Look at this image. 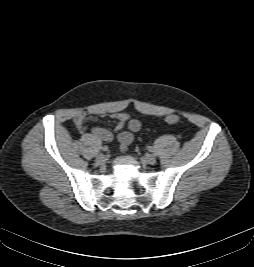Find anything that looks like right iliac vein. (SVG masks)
<instances>
[{"instance_id": "1", "label": "right iliac vein", "mask_w": 254, "mask_h": 267, "mask_svg": "<svg viewBox=\"0 0 254 267\" xmlns=\"http://www.w3.org/2000/svg\"><path fill=\"white\" fill-rule=\"evenodd\" d=\"M105 161H106V156L103 155V154L98 155V156L96 157V159H95V162H96V164H98V165H102V164H104Z\"/></svg>"}]
</instances>
